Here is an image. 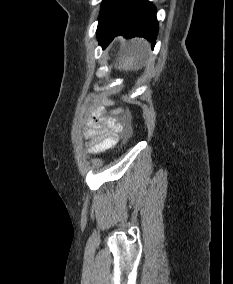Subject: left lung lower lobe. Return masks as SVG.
I'll list each match as a JSON object with an SVG mask.
<instances>
[{
    "instance_id": "obj_1",
    "label": "left lung lower lobe",
    "mask_w": 233,
    "mask_h": 284,
    "mask_svg": "<svg viewBox=\"0 0 233 284\" xmlns=\"http://www.w3.org/2000/svg\"><path fill=\"white\" fill-rule=\"evenodd\" d=\"M98 20L97 39L103 49L118 35L144 37L152 48L155 45L158 22L148 0H103Z\"/></svg>"
}]
</instances>
